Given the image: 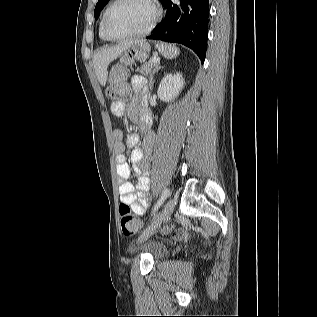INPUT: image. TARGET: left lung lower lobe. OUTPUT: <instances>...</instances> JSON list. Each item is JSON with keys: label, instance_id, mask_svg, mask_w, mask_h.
Wrapping results in <instances>:
<instances>
[{"label": "left lung lower lobe", "instance_id": "1", "mask_svg": "<svg viewBox=\"0 0 317 317\" xmlns=\"http://www.w3.org/2000/svg\"><path fill=\"white\" fill-rule=\"evenodd\" d=\"M165 18L147 39L181 43L191 48L203 63L207 49L209 0H164Z\"/></svg>", "mask_w": 317, "mask_h": 317}]
</instances>
